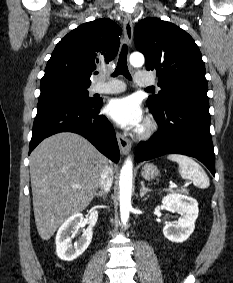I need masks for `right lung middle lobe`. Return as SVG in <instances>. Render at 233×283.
Returning <instances> with one entry per match:
<instances>
[{
  "instance_id": "1",
  "label": "right lung middle lobe",
  "mask_w": 233,
  "mask_h": 283,
  "mask_svg": "<svg viewBox=\"0 0 233 283\" xmlns=\"http://www.w3.org/2000/svg\"><path fill=\"white\" fill-rule=\"evenodd\" d=\"M89 86L79 85L67 80H50L41 82L39 98L48 96H65L86 102H94L96 99L89 97L87 88Z\"/></svg>"
}]
</instances>
